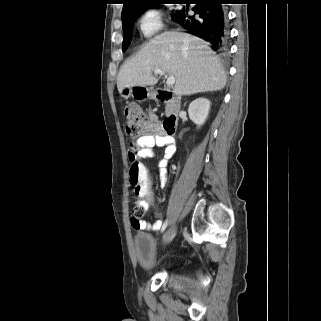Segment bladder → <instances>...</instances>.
Segmentation results:
<instances>
[{"label":"bladder","instance_id":"1","mask_svg":"<svg viewBox=\"0 0 321 321\" xmlns=\"http://www.w3.org/2000/svg\"><path fill=\"white\" fill-rule=\"evenodd\" d=\"M133 247L140 266L145 270L154 269L157 263L155 237L150 233H136L133 237Z\"/></svg>","mask_w":321,"mask_h":321}]
</instances>
